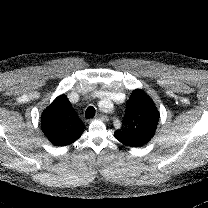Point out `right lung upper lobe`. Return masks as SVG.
<instances>
[{"instance_id": "cb5924a9", "label": "right lung upper lobe", "mask_w": 208, "mask_h": 208, "mask_svg": "<svg viewBox=\"0 0 208 208\" xmlns=\"http://www.w3.org/2000/svg\"><path fill=\"white\" fill-rule=\"evenodd\" d=\"M41 127L45 136L55 146H66L76 141L84 131L68 98L58 96L42 113Z\"/></svg>"}]
</instances>
